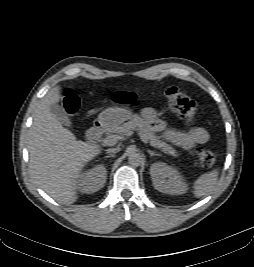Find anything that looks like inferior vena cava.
Returning a JSON list of instances; mask_svg holds the SVG:
<instances>
[{
	"instance_id": "obj_1",
	"label": "inferior vena cava",
	"mask_w": 254,
	"mask_h": 267,
	"mask_svg": "<svg viewBox=\"0 0 254 267\" xmlns=\"http://www.w3.org/2000/svg\"><path fill=\"white\" fill-rule=\"evenodd\" d=\"M119 151H120L119 148H109V149H107V153L108 154H114V153H117Z\"/></svg>"
}]
</instances>
